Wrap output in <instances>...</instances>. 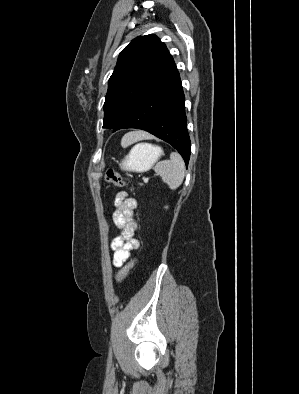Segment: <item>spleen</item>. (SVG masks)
Wrapping results in <instances>:
<instances>
[{
    "instance_id": "obj_1",
    "label": "spleen",
    "mask_w": 299,
    "mask_h": 394,
    "mask_svg": "<svg viewBox=\"0 0 299 394\" xmlns=\"http://www.w3.org/2000/svg\"><path fill=\"white\" fill-rule=\"evenodd\" d=\"M127 142L128 140L126 135L122 139V145H127ZM136 147L137 146H135L134 149ZM154 169L155 172L161 176L162 181L172 190L179 187L183 182L185 176V164L182 157L177 152H172L170 154V160L158 162Z\"/></svg>"
}]
</instances>
